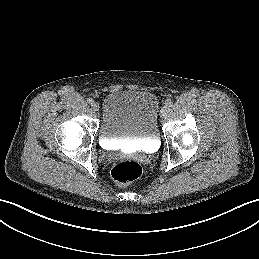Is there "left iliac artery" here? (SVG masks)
<instances>
[{
	"label": "left iliac artery",
	"instance_id": "obj_1",
	"mask_svg": "<svg viewBox=\"0 0 259 259\" xmlns=\"http://www.w3.org/2000/svg\"><path fill=\"white\" fill-rule=\"evenodd\" d=\"M172 104H173V102H172L171 99H168V100L165 102L166 107H171Z\"/></svg>",
	"mask_w": 259,
	"mask_h": 259
}]
</instances>
